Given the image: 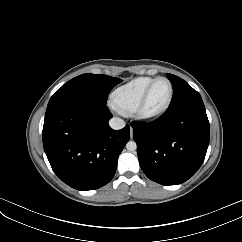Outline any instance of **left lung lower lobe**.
<instances>
[{"mask_svg": "<svg viewBox=\"0 0 242 242\" xmlns=\"http://www.w3.org/2000/svg\"><path fill=\"white\" fill-rule=\"evenodd\" d=\"M140 166L162 185H177L202 165L209 145V121L202 99L169 106L158 119L132 124Z\"/></svg>", "mask_w": 242, "mask_h": 242, "instance_id": "1", "label": "left lung lower lobe"}]
</instances>
